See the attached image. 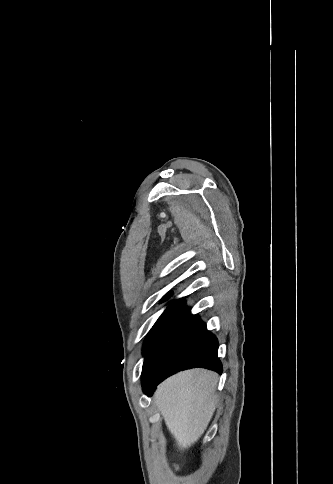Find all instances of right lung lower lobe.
Masks as SVG:
<instances>
[{
	"instance_id": "right-lung-lower-lobe-1",
	"label": "right lung lower lobe",
	"mask_w": 333,
	"mask_h": 484,
	"mask_svg": "<svg viewBox=\"0 0 333 484\" xmlns=\"http://www.w3.org/2000/svg\"><path fill=\"white\" fill-rule=\"evenodd\" d=\"M218 341L198 315L185 308L184 298L171 303L146 338L142 370L143 392L151 395L166 377L201 366L219 373Z\"/></svg>"
}]
</instances>
